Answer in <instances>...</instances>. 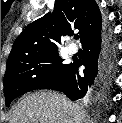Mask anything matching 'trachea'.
Here are the masks:
<instances>
[{"label": "trachea", "mask_w": 122, "mask_h": 123, "mask_svg": "<svg viewBox=\"0 0 122 123\" xmlns=\"http://www.w3.org/2000/svg\"><path fill=\"white\" fill-rule=\"evenodd\" d=\"M74 38H75V39H78V38H79V36H75Z\"/></svg>", "instance_id": "trachea-1"}]
</instances>
